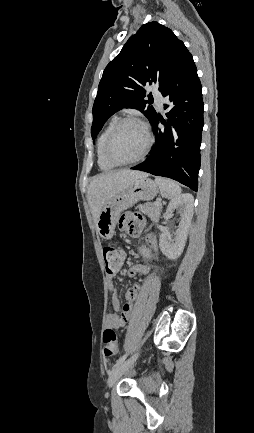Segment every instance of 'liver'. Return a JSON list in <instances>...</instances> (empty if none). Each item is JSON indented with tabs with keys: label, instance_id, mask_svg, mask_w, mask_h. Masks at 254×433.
<instances>
[{
	"label": "liver",
	"instance_id": "liver-1",
	"mask_svg": "<svg viewBox=\"0 0 254 433\" xmlns=\"http://www.w3.org/2000/svg\"><path fill=\"white\" fill-rule=\"evenodd\" d=\"M147 177L141 171L121 169L95 176L88 186L87 199L95 222L104 205L139 178Z\"/></svg>",
	"mask_w": 254,
	"mask_h": 433
}]
</instances>
